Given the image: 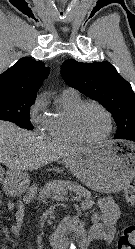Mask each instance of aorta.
<instances>
[{"label":"aorta","mask_w":135,"mask_h":249,"mask_svg":"<svg viewBox=\"0 0 135 249\" xmlns=\"http://www.w3.org/2000/svg\"><path fill=\"white\" fill-rule=\"evenodd\" d=\"M75 248H76V246L73 243H71L70 249H75Z\"/></svg>","instance_id":"762f6f07"}]
</instances>
